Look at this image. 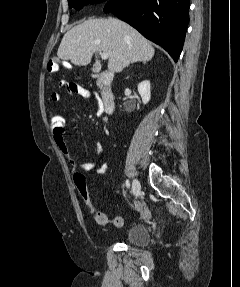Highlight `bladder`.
I'll return each mask as SVG.
<instances>
[{"mask_svg": "<svg viewBox=\"0 0 240 287\" xmlns=\"http://www.w3.org/2000/svg\"><path fill=\"white\" fill-rule=\"evenodd\" d=\"M123 239L133 245H146L150 242V234L144 225L136 224L125 232Z\"/></svg>", "mask_w": 240, "mask_h": 287, "instance_id": "31cf9c89", "label": "bladder"}]
</instances>
